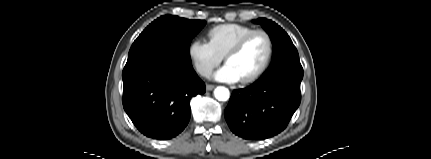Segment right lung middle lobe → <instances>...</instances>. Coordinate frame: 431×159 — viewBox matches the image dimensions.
Here are the masks:
<instances>
[{"label": "right lung middle lobe", "instance_id": "1", "mask_svg": "<svg viewBox=\"0 0 431 159\" xmlns=\"http://www.w3.org/2000/svg\"><path fill=\"white\" fill-rule=\"evenodd\" d=\"M205 24L206 21L203 20L161 16L149 24L134 41L128 59L147 51L162 50L190 63V43Z\"/></svg>", "mask_w": 431, "mask_h": 159}]
</instances>
